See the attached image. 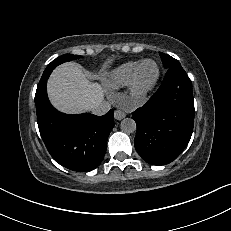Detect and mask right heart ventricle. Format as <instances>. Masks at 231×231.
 <instances>
[{"label": "right heart ventricle", "mask_w": 231, "mask_h": 231, "mask_svg": "<svg viewBox=\"0 0 231 231\" xmlns=\"http://www.w3.org/2000/svg\"><path fill=\"white\" fill-rule=\"evenodd\" d=\"M142 61H130L113 69L106 77V84L112 89H119L130 83L132 75Z\"/></svg>", "instance_id": "1"}]
</instances>
